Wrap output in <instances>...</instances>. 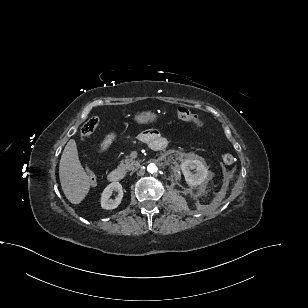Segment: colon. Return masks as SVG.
Returning a JSON list of instances; mask_svg holds the SVG:
<instances>
[{"instance_id": "5ec220e1", "label": "colon", "mask_w": 308, "mask_h": 308, "mask_svg": "<svg viewBox=\"0 0 308 308\" xmlns=\"http://www.w3.org/2000/svg\"><path fill=\"white\" fill-rule=\"evenodd\" d=\"M176 114L178 119H180L181 121L192 123L199 128L203 127V122L201 121V119L184 106H179L176 109ZM98 124H99L98 117H91L89 120H87L80 129L81 137L87 138L91 136L95 131V129L97 128ZM222 158L223 162L226 165H232L235 161V157L231 153H225ZM88 176H89L90 186L95 187L97 181L94 172L88 170Z\"/></svg>"}]
</instances>
